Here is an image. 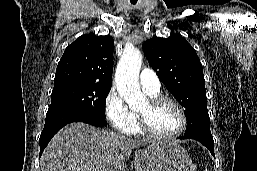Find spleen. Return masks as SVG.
Instances as JSON below:
<instances>
[{"label":"spleen","mask_w":257,"mask_h":171,"mask_svg":"<svg viewBox=\"0 0 257 171\" xmlns=\"http://www.w3.org/2000/svg\"><path fill=\"white\" fill-rule=\"evenodd\" d=\"M204 171H208V170H207V168H205V170H204Z\"/></svg>","instance_id":"3e777b00"}]
</instances>
